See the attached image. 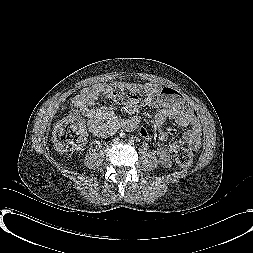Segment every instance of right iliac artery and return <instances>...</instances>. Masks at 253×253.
<instances>
[{
    "mask_svg": "<svg viewBox=\"0 0 253 253\" xmlns=\"http://www.w3.org/2000/svg\"><path fill=\"white\" fill-rule=\"evenodd\" d=\"M118 141H119V139H117V138L114 139V143H118Z\"/></svg>",
    "mask_w": 253,
    "mask_h": 253,
    "instance_id": "right-iliac-artery-1",
    "label": "right iliac artery"
}]
</instances>
